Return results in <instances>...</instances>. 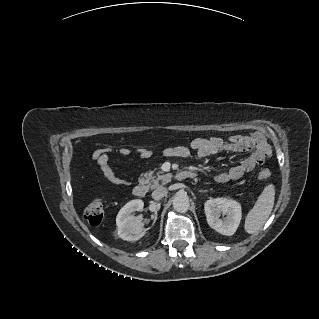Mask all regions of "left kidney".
<instances>
[{
  "instance_id": "5707ae66",
  "label": "left kidney",
  "mask_w": 319,
  "mask_h": 319,
  "mask_svg": "<svg viewBox=\"0 0 319 319\" xmlns=\"http://www.w3.org/2000/svg\"><path fill=\"white\" fill-rule=\"evenodd\" d=\"M208 225L218 233L233 235L241 221L242 210L239 202L230 198L209 199L204 204ZM225 216L224 218H220Z\"/></svg>"
}]
</instances>
